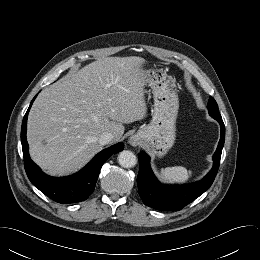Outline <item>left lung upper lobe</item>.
<instances>
[{
	"label": "left lung upper lobe",
	"instance_id": "left-lung-upper-lobe-1",
	"mask_svg": "<svg viewBox=\"0 0 260 260\" xmlns=\"http://www.w3.org/2000/svg\"><path fill=\"white\" fill-rule=\"evenodd\" d=\"M207 107H208L210 116H212L214 119H216V118L221 119V115L219 114V110H218V105L212 97H210Z\"/></svg>",
	"mask_w": 260,
	"mask_h": 260
}]
</instances>
